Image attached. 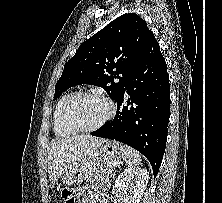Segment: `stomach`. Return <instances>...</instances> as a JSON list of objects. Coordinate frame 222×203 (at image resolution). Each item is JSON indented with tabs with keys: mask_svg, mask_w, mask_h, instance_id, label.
Listing matches in <instances>:
<instances>
[{
	"mask_svg": "<svg viewBox=\"0 0 222 203\" xmlns=\"http://www.w3.org/2000/svg\"><path fill=\"white\" fill-rule=\"evenodd\" d=\"M125 156V146L116 141H107L93 149L85 160L68 169L62 179L63 183L67 186L79 185L100 161H119Z\"/></svg>",
	"mask_w": 222,
	"mask_h": 203,
	"instance_id": "1",
	"label": "stomach"
}]
</instances>
